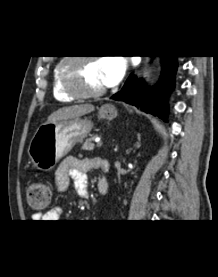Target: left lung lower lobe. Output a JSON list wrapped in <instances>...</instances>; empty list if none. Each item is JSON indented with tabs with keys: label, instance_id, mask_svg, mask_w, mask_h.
<instances>
[{
	"label": "left lung lower lobe",
	"instance_id": "0a47b994",
	"mask_svg": "<svg viewBox=\"0 0 218 277\" xmlns=\"http://www.w3.org/2000/svg\"><path fill=\"white\" fill-rule=\"evenodd\" d=\"M176 57L161 56L162 74L160 81L153 90L147 91L145 83L131 75L122 90L113 95L112 99L123 100L167 121V96L175 82L174 77L177 70Z\"/></svg>",
	"mask_w": 218,
	"mask_h": 277
}]
</instances>
